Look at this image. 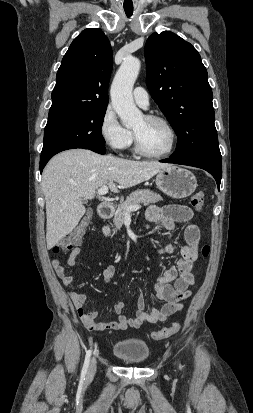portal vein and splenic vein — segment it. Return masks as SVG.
Instances as JSON below:
<instances>
[{"instance_id":"1","label":"portal vein and splenic vein","mask_w":253,"mask_h":413,"mask_svg":"<svg viewBox=\"0 0 253 413\" xmlns=\"http://www.w3.org/2000/svg\"><path fill=\"white\" fill-rule=\"evenodd\" d=\"M107 192H108V187H107L106 185L102 186V187H101L100 189H98V191H97V193H98L99 195H105V194H107ZM140 208H141L140 205L131 206V207H129V208L127 209L126 215H129L130 212H132V211H137V210H139Z\"/></svg>"}]
</instances>
